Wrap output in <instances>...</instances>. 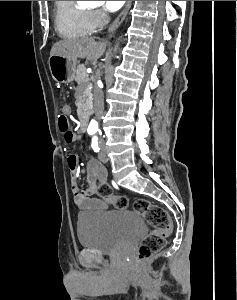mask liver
<instances>
[{"label":"liver","instance_id":"6515ba94","mask_svg":"<svg viewBox=\"0 0 237 300\" xmlns=\"http://www.w3.org/2000/svg\"><path fill=\"white\" fill-rule=\"evenodd\" d=\"M105 49L106 43H96L94 37H84L77 41H58L53 45L50 55H70L73 59L97 61Z\"/></svg>","mask_w":237,"mask_h":300}]
</instances>
